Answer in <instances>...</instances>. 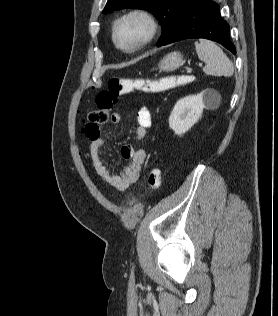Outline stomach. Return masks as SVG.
<instances>
[{
	"instance_id": "0dacf381",
	"label": "stomach",
	"mask_w": 278,
	"mask_h": 316,
	"mask_svg": "<svg viewBox=\"0 0 278 316\" xmlns=\"http://www.w3.org/2000/svg\"><path fill=\"white\" fill-rule=\"evenodd\" d=\"M184 63L183 56L179 52H172L166 55L159 63L161 71H173Z\"/></svg>"
}]
</instances>
